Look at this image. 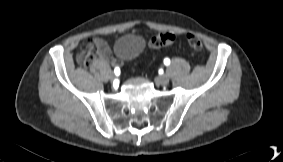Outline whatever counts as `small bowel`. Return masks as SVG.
I'll use <instances>...</instances> for the list:
<instances>
[{"mask_svg":"<svg viewBox=\"0 0 283 162\" xmlns=\"http://www.w3.org/2000/svg\"><path fill=\"white\" fill-rule=\"evenodd\" d=\"M82 52L90 53L100 60L110 61L111 51L108 43L99 37L93 38L83 46Z\"/></svg>","mask_w":283,"mask_h":162,"instance_id":"1","label":"small bowel"}]
</instances>
